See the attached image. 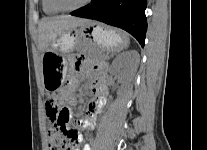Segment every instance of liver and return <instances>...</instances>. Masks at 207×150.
<instances>
[{
    "label": "liver",
    "mask_w": 207,
    "mask_h": 150,
    "mask_svg": "<svg viewBox=\"0 0 207 150\" xmlns=\"http://www.w3.org/2000/svg\"><path fill=\"white\" fill-rule=\"evenodd\" d=\"M89 22L88 19L67 15L43 18L38 25L39 49L45 52L56 36Z\"/></svg>",
    "instance_id": "obj_1"
}]
</instances>
